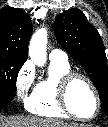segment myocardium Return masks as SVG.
<instances>
[{"label": "myocardium", "instance_id": "obj_1", "mask_svg": "<svg viewBox=\"0 0 108 127\" xmlns=\"http://www.w3.org/2000/svg\"><path fill=\"white\" fill-rule=\"evenodd\" d=\"M77 80H81V81L85 82L90 87V89L92 90V92L95 96L96 108H95L94 113L89 117H82V116L78 115L70 106L69 92H70V89H71L73 83ZM58 99H59L61 108L69 116H71L75 119L81 120V121H90V120L94 119L98 115L100 108H101V99H100V94H99L97 87L95 86V84L89 77H87L86 75H84L82 73H78V72L71 71L61 78V80L59 81V85H58Z\"/></svg>", "mask_w": 108, "mask_h": 127}]
</instances>
